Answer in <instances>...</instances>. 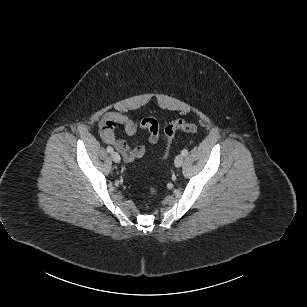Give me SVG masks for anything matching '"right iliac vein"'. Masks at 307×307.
<instances>
[{"label":"right iliac vein","mask_w":307,"mask_h":307,"mask_svg":"<svg viewBox=\"0 0 307 307\" xmlns=\"http://www.w3.org/2000/svg\"><path fill=\"white\" fill-rule=\"evenodd\" d=\"M111 158L115 163H119L121 161V157L117 152H112Z\"/></svg>","instance_id":"63e3f726"}]
</instances>
